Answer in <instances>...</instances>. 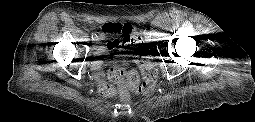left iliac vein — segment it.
Instances as JSON below:
<instances>
[{
  "label": "left iliac vein",
  "mask_w": 255,
  "mask_h": 122,
  "mask_svg": "<svg viewBox=\"0 0 255 122\" xmlns=\"http://www.w3.org/2000/svg\"><path fill=\"white\" fill-rule=\"evenodd\" d=\"M145 41H146V42H150V41L148 40V37H145Z\"/></svg>",
  "instance_id": "1"
}]
</instances>
